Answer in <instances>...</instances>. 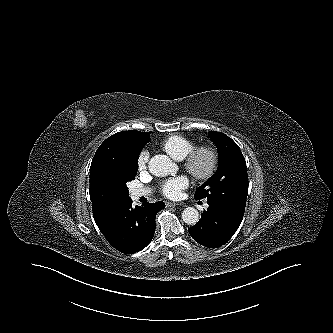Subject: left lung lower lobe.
<instances>
[{
    "label": "left lung lower lobe",
    "instance_id": "1",
    "mask_svg": "<svg viewBox=\"0 0 333 333\" xmlns=\"http://www.w3.org/2000/svg\"><path fill=\"white\" fill-rule=\"evenodd\" d=\"M209 208L201 219L189 228L192 238L199 244L217 248L229 241L243 219L244 210L215 200H207Z\"/></svg>",
    "mask_w": 333,
    "mask_h": 333
}]
</instances>
